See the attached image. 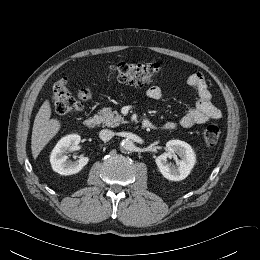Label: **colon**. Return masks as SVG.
<instances>
[{
	"label": "colon",
	"mask_w": 260,
	"mask_h": 260,
	"mask_svg": "<svg viewBox=\"0 0 260 260\" xmlns=\"http://www.w3.org/2000/svg\"><path fill=\"white\" fill-rule=\"evenodd\" d=\"M112 71L114 77L119 81L142 86L151 82L156 76L159 65L156 63H118L112 67ZM89 98L90 91L88 89L80 90L77 97H74L69 90L67 79L61 78L53 86L51 100L58 114H76ZM221 133L222 130L219 125H208L204 131L206 144L210 146L217 144Z\"/></svg>",
	"instance_id": "obj_1"
}]
</instances>
